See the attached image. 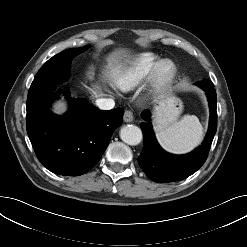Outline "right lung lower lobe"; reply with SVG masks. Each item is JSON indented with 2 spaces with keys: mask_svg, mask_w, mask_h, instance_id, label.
<instances>
[{
  "mask_svg": "<svg viewBox=\"0 0 247 247\" xmlns=\"http://www.w3.org/2000/svg\"><path fill=\"white\" fill-rule=\"evenodd\" d=\"M57 84L31 86L27 98V133L37 158L48 170L79 176L92 169L106 150L112 133L122 124L124 110H99L86 100L71 101L64 116H56L50 103L61 91Z\"/></svg>",
  "mask_w": 247,
  "mask_h": 247,
  "instance_id": "right-lung-lower-lobe-1",
  "label": "right lung lower lobe"
}]
</instances>
